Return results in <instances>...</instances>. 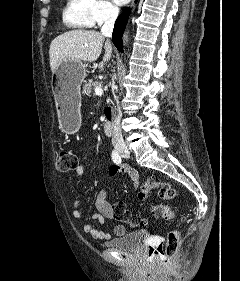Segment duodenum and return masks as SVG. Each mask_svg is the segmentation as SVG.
Instances as JSON below:
<instances>
[{"label": "duodenum", "instance_id": "obj_1", "mask_svg": "<svg viewBox=\"0 0 240 281\" xmlns=\"http://www.w3.org/2000/svg\"><path fill=\"white\" fill-rule=\"evenodd\" d=\"M103 131L107 136H111L113 133V121L110 113H105V118L103 121Z\"/></svg>", "mask_w": 240, "mask_h": 281}]
</instances>
